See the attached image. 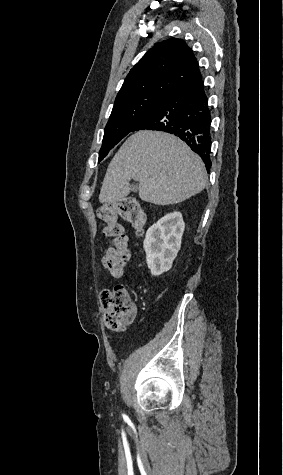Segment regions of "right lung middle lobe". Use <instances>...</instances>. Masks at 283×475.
Instances as JSON below:
<instances>
[{
  "instance_id": "obj_1",
  "label": "right lung middle lobe",
  "mask_w": 283,
  "mask_h": 475,
  "mask_svg": "<svg viewBox=\"0 0 283 475\" xmlns=\"http://www.w3.org/2000/svg\"><path fill=\"white\" fill-rule=\"evenodd\" d=\"M172 90L160 89L132 98L115 102L106 125L102 147L99 153L101 161L109 151L141 121V119L159 105Z\"/></svg>"
}]
</instances>
